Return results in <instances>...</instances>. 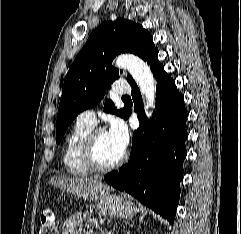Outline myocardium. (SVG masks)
I'll return each instance as SVG.
<instances>
[{
    "label": "myocardium",
    "mask_w": 241,
    "mask_h": 234,
    "mask_svg": "<svg viewBox=\"0 0 241 234\" xmlns=\"http://www.w3.org/2000/svg\"><path fill=\"white\" fill-rule=\"evenodd\" d=\"M104 128H93L86 136L82 146V159L84 164L92 171L97 173H106L120 167L127 159L126 151L122 156L112 164L103 165L96 157V141L97 136L105 132Z\"/></svg>",
    "instance_id": "myocardium-1"
}]
</instances>
